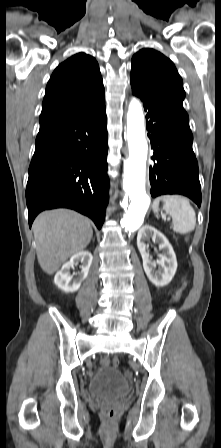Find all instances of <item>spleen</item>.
<instances>
[{
  "instance_id": "obj_1",
  "label": "spleen",
  "mask_w": 221,
  "mask_h": 448,
  "mask_svg": "<svg viewBox=\"0 0 221 448\" xmlns=\"http://www.w3.org/2000/svg\"><path fill=\"white\" fill-rule=\"evenodd\" d=\"M163 202V210L170 215L173 221V231L186 234L194 230L196 226L195 210L188 199L179 195H164L153 201L154 213L159 211V203Z\"/></svg>"
}]
</instances>
